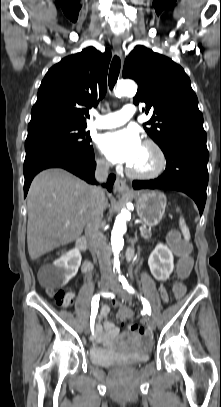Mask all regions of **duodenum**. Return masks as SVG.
<instances>
[{
  "instance_id": "duodenum-1",
  "label": "duodenum",
  "mask_w": 221,
  "mask_h": 407,
  "mask_svg": "<svg viewBox=\"0 0 221 407\" xmlns=\"http://www.w3.org/2000/svg\"><path fill=\"white\" fill-rule=\"evenodd\" d=\"M77 246L81 251H84L86 249V240L84 237H81L77 240ZM93 266L92 263L88 260L83 261L82 264V270L83 272H90L92 270Z\"/></svg>"
}]
</instances>
